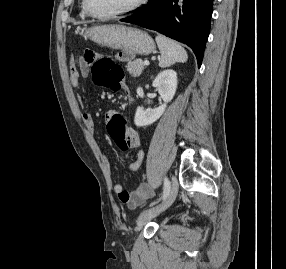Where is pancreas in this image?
Listing matches in <instances>:
<instances>
[{"label": "pancreas", "instance_id": "obj_1", "mask_svg": "<svg viewBox=\"0 0 286 269\" xmlns=\"http://www.w3.org/2000/svg\"><path fill=\"white\" fill-rule=\"evenodd\" d=\"M126 68L130 75L138 77L144 70L145 65L142 59H136L135 61H128Z\"/></svg>", "mask_w": 286, "mask_h": 269}]
</instances>
